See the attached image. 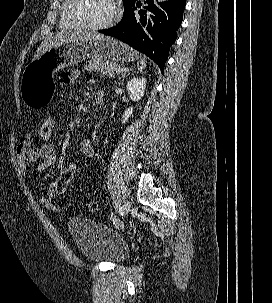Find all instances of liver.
Masks as SVG:
<instances>
[{"mask_svg": "<svg viewBox=\"0 0 272 303\" xmlns=\"http://www.w3.org/2000/svg\"><path fill=\"white\" fill-rule=\"evenodd\" d=\"M105 36L98 34L96 32H58L54 35H50L47 37L42 44L37 49L33 60L39 58L42 54H44L46 51L53 47H57L58 45L66 42H72V41H84V40H93V39H103Z\"/></svg>", "mask_w": 272, "mask_h": 303, "instance_id": "liver-1", "label": "liver"}]
</instances>
